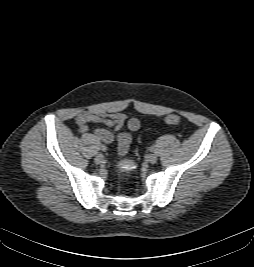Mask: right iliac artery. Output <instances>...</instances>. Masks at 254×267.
Returning <instances> with one entry per match:
<instances>
[{"mask_svg":"<svg viewBox=\"0 0 254 267\" xmlns=\"http://www.w3.org/2000/svg\"><path fill=\"white\" fill-rule=\"evenodd\" d=\"M100 150H102V151H106V150H107V147L104 146V145H101V146H100Z\"/></svg>","mask_w":254,"mask_h":267,"instance_id":"obj_1","label":"right iliac artery"}]
</instances>
